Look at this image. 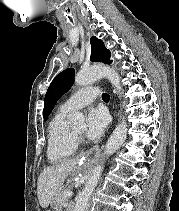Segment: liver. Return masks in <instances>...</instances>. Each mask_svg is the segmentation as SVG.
Segmentation results:
<instances>
[{
  "mask_svg": "<svg viewBox=\"0 0 179 211\" xmlns=\"http://www.w3.org/2000/svg\"><path fill=\"white\" fill-rule=\"evenodd\" d=\"M80 158H74L62 162L61 164L44 168L43 172L38 177L37 196L40 206L47 208L69 175L77 174L80 169L78 164Z\"/></svg>",
  "mask_w": 179,
  "mask_h": 211,
  "instance_id": "1",
  "label": "liver"
}]
</instances>
